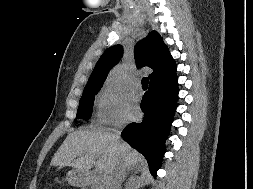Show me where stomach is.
<instances>
[{
	"mask_svg": "<svg viewBox=\"0 0 253 189\" xmlns=\"http://www.w3.org/2000/svg\"><path fill=\"white\" fill-rule=\"evenodd\" d=\"M66 180L70 185L82 186L89 182L90 175L85 171L71 170L67 173Z\"/></svg>",
	"mask_w": 253,
	"mask_h": 189,
	"instance_id": "obj_1",
	"label": "stomach"
}]
</instances>
